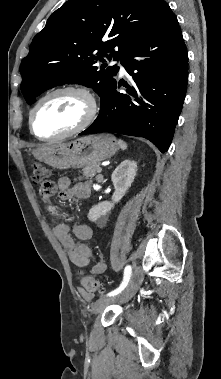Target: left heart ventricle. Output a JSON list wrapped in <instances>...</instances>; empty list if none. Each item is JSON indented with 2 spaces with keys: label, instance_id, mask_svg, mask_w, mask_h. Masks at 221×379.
Returning <instances> with one entry per match:
<instances>
[{
  "label": "left heart ventricle",
  "instance_id": "left-heart-ventricle-1",
  "mask_svg": "<svg viewBox=\"0 0 221 379\" xmlns=\"http://www.w3.org/2000/svg\"><path fill=\"white\" fill-rule=\"evenodd\" d=\"M88 111L87 101L75 93H60L46 99L34 116V129L42 137L64 133L77 126Z\"/></svg>",
  "mask_w": 221,
  "mask_h": 379
}]
</instances>
